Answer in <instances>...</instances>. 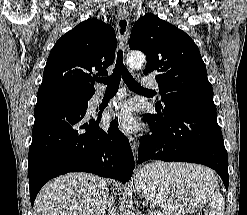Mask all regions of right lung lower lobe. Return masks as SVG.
I'll return each instance as SVG.
<instances>
[{
	"instance_id": "98d812e1",
	"label": "right lung lower lobe",
	"mask_w": 247,
	"mask_h": 215,
	"mask_svg": "<svg viewBox=\"0 0 247 215\" xmlns=\"http://www.w3.org/2000/svg\"><path fill=\"white\" fill-rule=\"evenodd\" d=\"M88 100L79 103L39 88L28 165L32 206L47 181L68 172H89L122 183L131 179L135 164L127 137L116 120L108 129L99 128L100 120L86 113Z\"/></svg>"
}]
</instances>
